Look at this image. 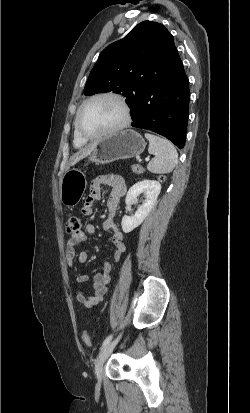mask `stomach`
I'll list each match as a JSON object with an SVG mask.
<instances>
[{
  "instance_id": "1",
  "label": "stomach",
  "mask_w": 250,
  "mask_h": 413,
  "mask_svg": "<svg viewBox=\"0 0 250 413\" xmlns=\"http://www.w3.org/2000/svg\"><path fill=\"white\" fill-rule=\"evenodd\" d=\"M145 140L134 130H124L109 134L97 140V145L88 159L96 164H107L118 159L139 156L145 149ZM87 186L84 173L80 169L68 170L60 183V200L72 208L81 200Z\"/></svg>"
}]
</instances>
